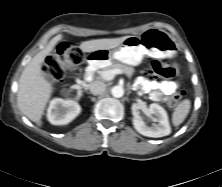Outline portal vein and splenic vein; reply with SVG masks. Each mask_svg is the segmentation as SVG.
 I'll list each match as a JSON object with an SVG mask.
<instances>
[{
	"label": "portal vein and splenic vein",
	"instance_id": "portal-vein-and-splenic-vein-1",
	"mask_svg": "<svg viewBox=\"0 0 222 187\" xmlns=\"http://www.w3.org/2000/svg\"><path fill=\"white\" fill-rule=\"evenodd\" d=\"M122 73L123 72L119 69H113V70L102 72L101 77H102V79H104L106 81H110L115 77V75L122 74Z\"/></svg>",
	"mask_w": 222,
	"mask_h": 187
}]
</instances>
